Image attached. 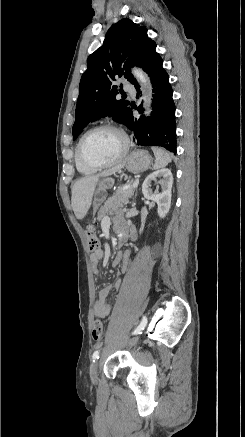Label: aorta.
<instances>
[{
    "mask_svg": "<svg viewBox=\"0 0 245 437\" xmlns=\"http://www.w3.org/2000/svg\"><path fill=\"white\" fill-rule=\"evenodd\" d=\"M133 74L142 84L147 85L148 79L142 70L135 68L133 69Z\"/></svg>",
    "mask_w": 245,
    "mask_h": 437,
    "instance_id": "obj_1",
    "label": "aorta"
}]
</instances>
